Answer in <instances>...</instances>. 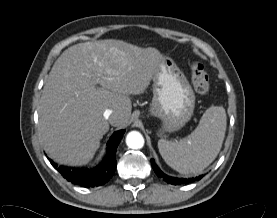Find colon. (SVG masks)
Returning a JSON list of instances; mask_svg holds the SVG:
<instances>
[{
  "instance_id": "5ec220e1",
  "label": "colon",
  "mask_w": 277,
  "mask_h": 218,
  "mask_svg": "<svg viewBox=\"0 0 277 218\" xmlns=\"http://www.w3.org/2000/svg\"><path fill=\"white\" fill-rule=\"evenodd\" d=\"M191 83L195 92L201 96L207 95L210 89L208 73L200 62L191 65Z\"/></svg>"
}]
</instances>
